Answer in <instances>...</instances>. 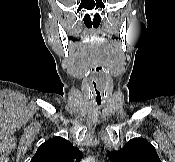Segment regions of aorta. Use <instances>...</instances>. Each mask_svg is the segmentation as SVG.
I'll use <instances>...</instances> for the list:
<instances>
[{
	"instance_id": "1",
	"label": "aorta",
	"mask_w": 175,
	"mask_h": 162,
	"mask_svg": "<svg viewBox=\"0 0 175 162\" xmlns=\"http://www.w3.org/2000/svg\"><path fill=\"white\" fill-rule=\"evenodd\" d=\"M83 162H94V159L91 158V157H89V158H87L86 160H83Z\"/></svg>"
}]
</instances>
